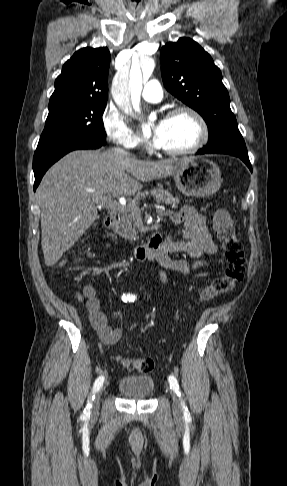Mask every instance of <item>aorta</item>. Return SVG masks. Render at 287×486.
Returning a JSON list of instances; mask_svg holds the SVG:
<instances>
[{"label": "aorta", "instance_id": "obj_1", "mask_svg": "<svg viewBox=\"0 0 287 486\" xmlns=\"http://www.w3.org/2000/svg\"><path fill=\"white\" fill-rule=\"evenodd\" d=\"M155 63L153 59L144 62L142 71L137 61L132 62L130 73H118L112 83V96L117 105L126 114L133 109L140 111L139 99L143 86V77L149 78L153 73Z\"/></svg>", "mask_w": 287, "mask_h": 486}]
</instances>
